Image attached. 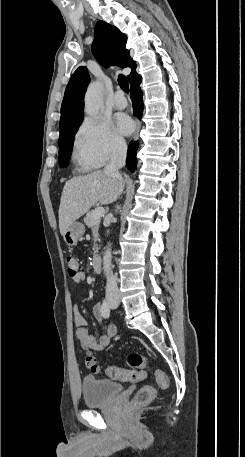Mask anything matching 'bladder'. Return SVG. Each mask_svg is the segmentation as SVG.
I'll return each mask as SVG.
<instances>
[{"instance_id": "31cf9c89", "label": "bladder", "mask_w": 245, "mask_h": 457, "mask_svg": "<svg viewBox=\"0 0 245 457\" xmlns=\"http://www.w3.org/2000/svg\"><path fill=\"white\" fill-rule=\"evenodd\" d=\"M85 406H95L110 403L113 395H118L121 389L119 382L99 380L85 377L82 382Z\"/></svg>"}]
</instances>
